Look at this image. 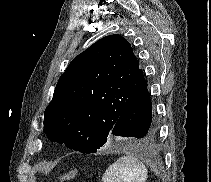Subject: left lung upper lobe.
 Returning <instances> with one entry per match:
<instances>
[{
    "label": "left lung upper lobe",
    "mask_w": 211,
    "mask_h": 182,
    "mask_svg": "<svg viewBox=\"0 0 211 182\" xmlns=\"http://www.w3.org/2000/svg\"><path fill=\"white\" fill-rule=\"evenodd\" d=\"M146 83L130 43L117 34L103 37L59 78L45 110L44 132L51 141L94 153Z\"/></svg>",
    "instance_id": "obj_1"
}]
</instances>
